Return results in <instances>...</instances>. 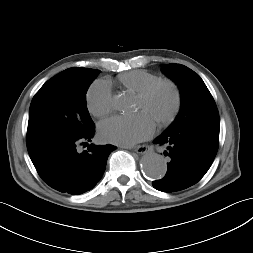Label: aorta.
<instances>
[{"instance_id": "762f6f07", "label": "aorta", "mask_w": 253, "mask_h": 253, "mask_svg": "<svg viewBox=\"0 0 253 253\" xmlns=\"http://www.w3.org/2000/svg\"><path fill=\"white\" fill-rule=\"evenodd\" d=\"M113 107L118 111L127 112L132 109L131 98L118 95L113 100ZM140 166L143 174L153 180L162 179L167 171V165L162 156L153 151L146 152L142 156Z\"/></svg>"}]
</instances>
